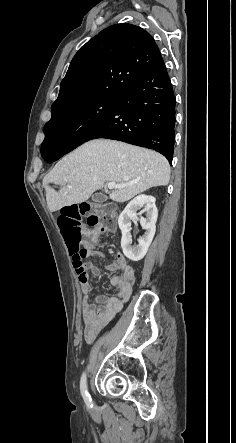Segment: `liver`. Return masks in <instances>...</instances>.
Here are the masks:
<instances>
[{
    "label": "liver",
    "mask_w": 236,
    "mask_h": 443,
    "mask_svg": "<svg viewBox=\"0 0 236 443\" xmlns=\"http://www.w3.org/2000/svg\"><path fill=\"white\" fill-rule=\"evenodd\" d=\"M169 179L170 165L161 154L124 142L96 139L62 158L44 177L43 187L48 208L55 212L88 200L105 182L125 185L109 197L126 202L151 187L166 186ZM49 184L60 185L59 191Z\"/></svg>",
    "instance_id": "6515ba94"
}]
</instances>
